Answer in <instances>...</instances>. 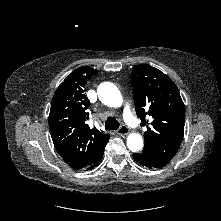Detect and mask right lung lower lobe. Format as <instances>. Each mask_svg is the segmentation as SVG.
I'll list each match as a JSON object with an SVG mask.
<instances>
[{
	"label": "right lung lower lobe",
	"mask_w": 221,
	"mask_h": 221,
	"mask_svg": "<svg viewBox=\"0 0 221 221\" xmlns=\"http://www.w3.org/2000/svg\"><path fill=\"white\" fill-rule=\"evenodd\" d=\"M103 152H104V150H103ZM103 152L100 154V156L97 158V160L87 169H92L100 163V161L102 160V157H103Z\"/></svg>",
	"instance_id": "obj_1"
}]
</instances>
